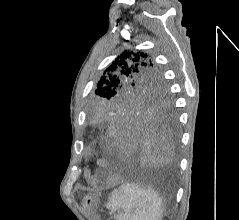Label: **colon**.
Masks as SVG:
<instances>
[{
    "instance_id": "colon-1",
    "label": "colon",
    "mask_w": 239,
    "mask_h": 220,
    "mask_svg": "<svg viewBox=\"0 0 239 220\" xmlns=\"http://www.w3.org/2000/svg\"><path fill=\"white\" fill-rule=\"evenodd\" d=\"M109 92H110V89L106 88V89H103L102 94L105 96V95H108Z\"/></svg>"
}]
</instances>
